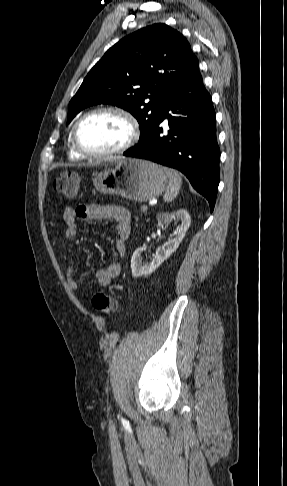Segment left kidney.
Here are the masks:
<instances>
[{"mask_svg": "<svg viewBox=\"0 0 287 486\" xmlns=\"http://www.w3.org/2000/svg\"><path fill=\"white\" fill-rule=\"evenodd\" d=\"M157 217L159 227L168 226L172 220L181 224L174 232V237L168 239L164 246L156 251L152 261L142 263L141 253L144 251V248L140 247L135 250L131 258V270L132 275L136 278L151 274L161 263L168 259L177 250L191 224V217L185 209H179L172 213H159Z\"/></svg>", "mask_w": 287, "mask_h": 486, "instance_id": "obj_1", "label": "left kidney"}]
</instances>
